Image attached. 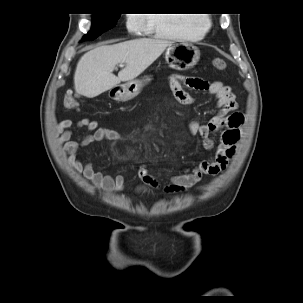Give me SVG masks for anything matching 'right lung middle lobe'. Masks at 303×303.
<instances>
[{"mask_svg":"<svg viewBox=\"0 0 303 303\" xmlns=\"http://www.w3.org/2000/svg\"><path fill=\"white\" fill-rule=\"evenodd\" d=\"M119 13L114 14H93V24L89 33L81 41L93 40L101 33L111 29L117 23Z\"/></svg>","mask_w":303,"mask_h":303,"instance_id":"right-lung-middle-lobe-1","label":"right lung middle lobe"}]
</instances>
